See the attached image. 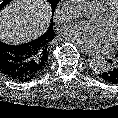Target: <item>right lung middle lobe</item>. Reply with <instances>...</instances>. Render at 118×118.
<instances>
[{"instance_id": "1", "label": "right lung middle lobe", "mask_w": 118, "mask_h": 118, "mask_svg": "<svg viewBox=\"0 0 118 118\" xmlns=\"http://www.w3.org/2000/svg\"><path fill=\"white\" fill-rule=\"evenodd\" d=\"M12 0H4L1 4H0V10L6 5L8 4L9 2H11ZM50 5H51V8H52V14H54V10L59 2V0H47Z\"/></svg>"}]
</instances>
